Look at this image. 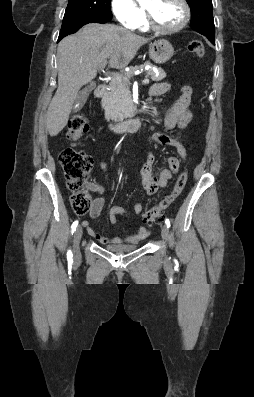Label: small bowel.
<instances>
[{
  "label": "small bowel",
  "mask_w": 254,
  "mask_h": 397,
  "mask_svg": "<svg viewBox=\"0 0 254 397\" xmlns=\"http://www.w3.org/2000/svg\"><path fill=\"white\" fill-rule=\"evenodd\" d=\"M171 89L169 82H161L154 84L150 89V96L157 97L167 93ZM192 97V88L190 86H184L182 93L179 98L171 105L165 114L164 125L168 130L178 128L185 130L192 120V112L189 110V105ZM151 141L165 144L173 147L180 157H168L163 162V165L154 171L153 166L155 162L154 153L149 150L146 161L142 168L138 172V177L141 180L142 187L148 195L157 193L160 189L167 186L173 175L177 173L181 161L186 158V150L180 139L170 138L169 136L162 133H154L150 137ZM100 167L104 173L106 181L108 180V169L106 162H101ZM90 189L102 194L103 187L99 185H91ZM104 205V198L102 196L97 197L91 204L90 216L93 219H97L100 216L101 210ZM134 211L137 214L142 213L143 206L136 202L133 206ZM117 215L128 216L129 212L120 206H114L109 210V220L114 226H118ZM83 225L87 228L88 233L99 243L104 245H120L124 243L135 244L145 239L150 231L146 228H140L137 232L131 233L125 237H105L93 230L88 226L87 222H83Z\"/></svg>",
  "instance_id": "c3829d8e"
}]
</instances>
